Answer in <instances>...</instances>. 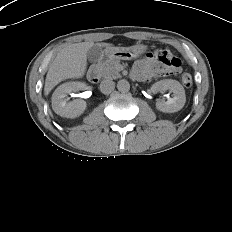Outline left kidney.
<instances>
[{
  "label": "left kidney",
  "mask_w": 232,
  "mask_h": 232,
  "mask_svg": "<svg viewBox=\"0 0 232 232\" xmlns=\"http://www.w3.org/2000/svg\"><path fill=\"white\" fill-rule=\"evenodd\" d=\"M171 91L172 98L167 101L159 100L156 102V108L165 113H174L181 110L186 102L185 90L176 80L164 79L154 83L151 87L152 93Z\"/></svg>",
  "instance_id": "obj_1"
}]
</instances>
